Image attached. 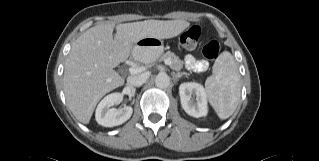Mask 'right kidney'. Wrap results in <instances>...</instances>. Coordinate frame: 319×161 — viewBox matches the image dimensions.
Returning <instances> with one entry per match:
<instances>
[{"instance_id":"right-kidney-1","label":"right kidney","mask_w":319,"mask_h":161,"mask_svg":"<svg viewBox=\"0 0 319 161\" xmlns=\"http://www.w3.org/2000/svg\"><path fill=\"white\" fill-rule=\"evenodd\" d=\"M121 94L119 92L111 93L104 97L96 108L95 118L98 124L105 127L118 126L130 119L133 109L131 106H124L116 109L111 106L119 103Z\"/></svg>"}]
</instances>
